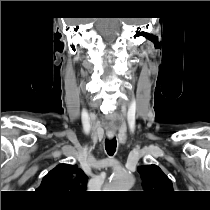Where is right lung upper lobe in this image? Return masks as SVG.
<instances>
[{
    "label": "right lung upper lobe",
    "instance_id": "right-lung-upper-lobe-1",
    "mask_svg": "<svg viewBox=\"0 0 210 210\" xmlns=\"http://www.w3.org/2000/svg\"><path fill=\"white\" fill-rule=\"evenodd\" d=\"M88 177L76 165L59 164L42 180L37 191L58 202L77 198L86 189Z\"/></svg>",
    "mask_w": 210,
    "mask_h": 210
}]
</instances>
